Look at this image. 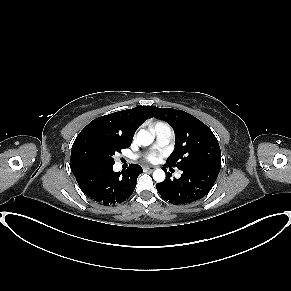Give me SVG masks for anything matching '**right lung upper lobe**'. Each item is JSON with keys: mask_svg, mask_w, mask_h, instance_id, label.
Listing matches in <instances>:
<instances>
[{"mask_svg": "<svg viewBox=\"0 0 291 291\" xmlns=\"http://www.w3.org/2000/svg\"><path fill=\"white\" fill-rule=\"evenodd\" d=\"M154 108L155 106H139L104 115L91 121L77 136L72 150L84 137L90 134H104L132 142L135 131L148 117L152 116ZM71 170L75 176L83 172L75 169L72 165Z\"/></svg>", "mask_w": 291, "mask_h": 291, "instance_id": "cb5924a9", "label": "right lung upper lobe"}]
</instances>
